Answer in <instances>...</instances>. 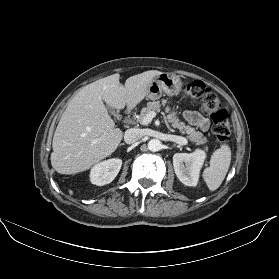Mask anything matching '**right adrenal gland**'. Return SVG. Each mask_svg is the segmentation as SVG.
Masks as SVG:
<instances>
[{
    "mask_svg": "<svg viewBox=\"0 0 279 279\" xmlns=\"http://www.w3.org/2000/svg\"><path fill=\"white\" fill-rule=\"evenodd\" d=\"M122 145H125V144H124V143H121V146H122Z\"/></svg>",
    "mask_w": 279,
    "mask_h": 279,
    "instance_id": "2a0ac1e0",
    "label": "right adrenal gland"
}]
</instances>
